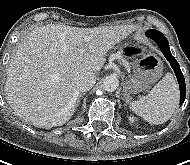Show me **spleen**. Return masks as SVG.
I'll return each mask as SVG.
<instances>
[{
	"mask_svg": "<svg viewBox=\"0 0 190 165\" xmlns=\"http://www.w3.org/2000/svg\"><path fill=\"white\" fill-rule=\"evenodd\" d=\"M179 102L178 84L167 73L148 95L131 104L132 111L149 123L162 124L168 121Z\"/></svg>",
	"mask_w": 190,
	"mask_h": 165,
	"instance_id": "3e777b00",
	"label": "spleen"
}]
</instances>
